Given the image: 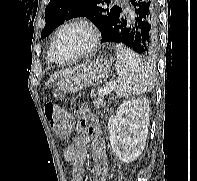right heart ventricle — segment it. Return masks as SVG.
I'll return each instance as SVG.
<instances>
[{
	"label": "right heart ventricle",
	"instance_id": "e07e8e85",
	"mask_svg": "<svg viewBox=\"0 0 197 181\" xmlns=\"http://www.w3.org/2000/svg\"><path fill=\"white\" fill-rule=\"evenodd\" d=\"M47 59H48L49 62H54L53 57H52L51 46H50V49H49L48 54H47Z\"/></svg>",
	"mask_w": 197,
	"mask_h": 181
}]
</instances>
